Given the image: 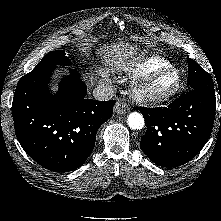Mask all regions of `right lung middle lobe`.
Instances as JSON below:
<instances>
[{"mask_svg":"<svg viewBox=\"0 0 221 221\" xmlns=\"http://www.w3.org/2000/svg\"><path fill=\"white\" fill-rule=\"evenodd\" d=\"M70 64H71V61L65 55L64 50L51 51L42 58L41 62L33 69V71L46 68V67L56 66V65L67 66Z\"/></svg>","mask_w":221,"mask_h":221,"instance_id":"1","label":"right lung middle lobe"}]
</instances>
